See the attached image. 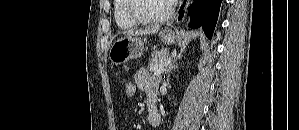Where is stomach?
I'll return each instance as SVG.
<instances>
[{
  "label": "stomach",
  "instance_id": "obj_1",
  "mask_svg": "<svg viewBox=\"0 0 299 130\" xmlns=\"http://www.w3.org/2000/svg\"><path fill=\"white\" fill-rule=\"evenodd\" d=\"M181 33L177 30L165 29L160 33L161 41L165 44H173L179 40ZM144 43L141 38L124 36L117 39L109 50V59L115 64H123L129 60L138 58L143 54Z\"/></svg>",
  "mask_w": 299,
  "mask_h": 130
}]
</instances>
